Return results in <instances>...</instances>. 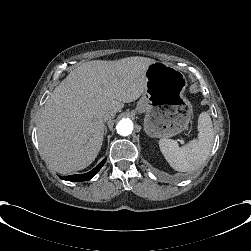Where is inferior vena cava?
I'll use <instances>...</instances> for the list:
<instances>
[{
	"instance_id": "602c4592",
	"label": "inferior vena cava",
	"mask_w": 251,
	"mask_h": 251,
	"mask_svg": "<svg viewBox=\"0 0 251 251\" xmlns=\"http://www.w3.org/2000/svg\"><path fill=\"white\" fill-rule=\"evenodd\" d=\"M109 116L113 118L115 116V113H111ZM105 120H107V118H105Z\"/></svg>"
}]
</instances>
